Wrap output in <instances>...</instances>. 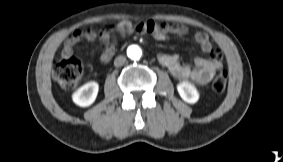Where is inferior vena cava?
<instances>
[{
  "label": "inferior vena cava",
  "instance_id": "602c4592",
  "mask_svg": "<svg viewBox=\"0 0 283 162\" xmlns=\"http://www.w3.org/2000/svg\"><path fill=\"white\" fill-rule=\"evenodd\" d=\"M126 62V58L122 55L117 56L114 60V65L116 67L122 66Z\"/></svg>",
  "mask_w": 283,
  "mask_h": 162
}]
</instances>
